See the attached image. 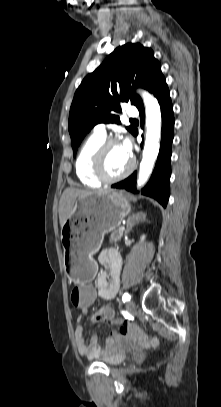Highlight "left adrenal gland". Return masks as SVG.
I'll return each mask as SVG.
<instances>
[{
    "mask_svg": "<svg viewBox=\"0 0 221 407\" xmlns=\"http://www.w3.org/2000/svg\"><path fill=\"white\" fill-rule=\"evenodd\" d=\"M144 220H146V215L143 213H136V214L129 216L127 219V224H126L127 229L125 231V234H128L135 224L139 223L140 221H144Z\"/></svg>",
    "mask_w": 221,
    "mask_h": 407,
    "instance_id": "left-adrenal-gland-1",
    "label": "left adrenal gland"
}]
</instances>
